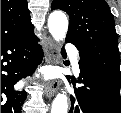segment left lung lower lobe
<instances>
[{"instance_id":"left-lung-lower-lobe-1","label":"left lung lower lobe","mask_w":121,"mask_h":113,"mask_svg":"<svg viewBox=\"0 0 121 113\" xmlns=\"http://www.w3.org/2000/svg\"><path fill=\"white\" fill-rule=\"evenodd\" d=\"M79 67L83 86L74 89L69 113H121V83L82 57Z\"/></svg>"}]
</instances>
